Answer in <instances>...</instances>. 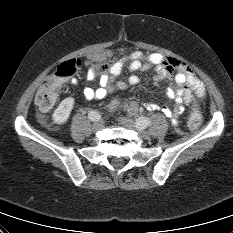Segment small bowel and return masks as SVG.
<instances>
[{"label": "small bowel", "instance_id": "small-bowel-1", "mask_svg": "<svg viewBox=\"0 0 233 233\" xmlns=\"http://www.w3.org/2000/svg\"><path fill=\"white\" fill-rule=\"evenodd\" d=\"M125 64H128L131 71L145 70L153 67L156 71V78L159 80H172L167 88V96L176 103L174 108L168 106H159L155 103H146L144 106L149 111L161 110L167 117L172 118V124H176V119L184 111L185 107L192 105L195 98L203 99L206 94L203 82L195 75L194 71L184 62L175 58L163 55L161 53L146 54L143 51L136 50L125 57L114 62L107 73L100 76L99 86L97 88L86 87L83 95L88 100L101 99L115 91L116 88L124 89L129 84L139 83L140 79L132 74L126 81H117L114 85L113 79L120 75ZM96 75L95 70H91L87 79L93 80ZM72 80V83H75ZM133 110L138 109L136 104H132Z\"/></svg>", "mask_w": 233, "mask_h": 233}]
</instances>
